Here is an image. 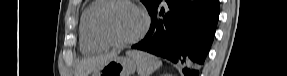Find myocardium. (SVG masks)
<instances>
[{"mask_svg": "<svg viewBox=\"0 0 287 76\" xmlns=\"http://www.w3.org/2000/svg\"><path fill=\"white\" fill-rule=\"evenodd\" d=\"M126 4L135 8L143 18V25L140 31L132 38L125 40H112L108 38L100 28V19L104 12L114 4ZM150 26V18L146 10L137 3L130 0H104L103 3L96 9L91 19V32L95 40L105 48L125 47L140 41L148 32Z\"/></svg>", "mask_w": 287, "mask_h": 76, "instance_id": "myocardium-1", "label": "myocardium"}]
</instances>
